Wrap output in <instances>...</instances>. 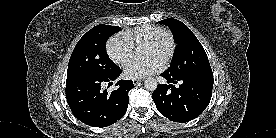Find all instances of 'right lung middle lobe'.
<instances>
[{"mask_svg": "<svg viewBox=\"0 0 276 138\" xmlns=\"http://www.w3.org/2000/svg\"><path fill=\"white\" fill-rule=\"evenodd\" d=\"M118 31L120 27L100 24L82 36L69 60L67 82L114 73L119 67L109 58L105 44Z\"/></svg>", "mask_w": 276, "mask_h": 138, "instance_id": "obj_1", "label": "right lung middle lobe"}]
</instances>
